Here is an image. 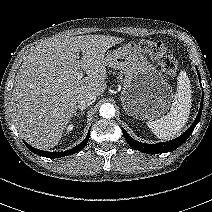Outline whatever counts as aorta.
I'll use <instances>...</instances> for the list:
<instances>
[{"instance_id": "aorta-1", "label": "aorta", "mask_w": 212, "mask_h": 212, "mask_svg": "<svg viewBox=\"0 0 212 212\" xmlns=\"http://www.w3.org/2000/svg\"><path fill=\"white\" fill-rule=\"evenodd\" d=\"M100 116L103 118H112L115 115V108L110 103H105L100 107Z\"/></svg>"}]
</instances>
